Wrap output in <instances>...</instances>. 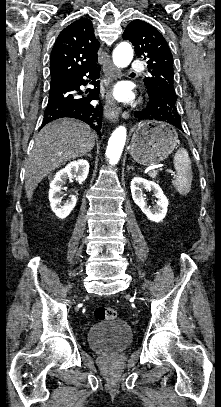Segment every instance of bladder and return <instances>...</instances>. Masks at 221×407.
<instances>
[{
  "instance_id": "31cf9c89",
  "label": "bladder",
  "mask_w": 221,
  "mask_h": 407,
  "mask_svg": "<svg viewBox=\"0 0 221 407\" xmlns=\"http://www.w3.org/2000/svg\"><path fill=\"white\" fill-rule=\"evenodd\" d=\"M132 340V328L124 319L96 323L87 330L89 346L99 353L123 351L131 345Z\"/></svg>"
}]
</instances>
